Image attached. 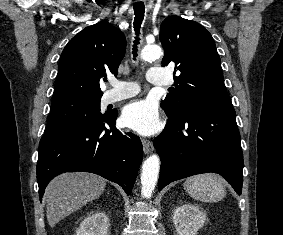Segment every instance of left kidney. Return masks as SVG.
I'll list each match as a JSON object with an SVG mask.
<instances>
[{"label":"left kidney","mask_w":283,"mask_h":235,"mask_svg":"<svg viewBox=\"0 0 283 235\" xmlns=\"http://www.w3.org/2000/svg\"><path fill=\"white\" fill-rule=\"evenodd\" d=\"M206 220L204 212L188 203L176 208L172 218L177 235H196Z\"/></svg>","instance_id":"left-kidney-1"}]
</instances>
